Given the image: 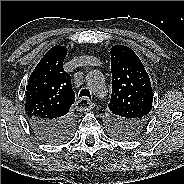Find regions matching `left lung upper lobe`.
Returning <instances> with one entry per match:
<instances>
[{
  "label": "left lung upper lobe",
  "instance_id": "5c2ea615",
  "mask_svg": "<svg viewBox=\"0 0 184 184\" xmlns=\"http://www.w3.org/2000/svg\"><path fill=\"white\" fill-rule=\"evenodd\" d=\"M111 72L110 131L117 138H133L149 120L151 82L139 57L124 45L111 48Z\"/></svg>",
  "mask_w": 184,
  "mask_h": 184
}]
</instances>
